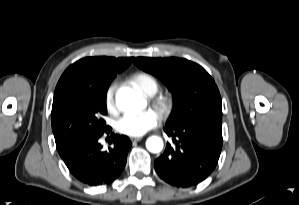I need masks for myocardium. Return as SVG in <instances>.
I'll use <instances>...</instances> for the list:
<instances>
[{
	"instance_id": "myocardium-1",
	"label": "myocardium",
	"mask_w": 299,
	"mask_h": 205,
	"mask_svg": "<svg viewBox=\"0 0 299 205\" xmlns=\"http://www.w3.org/2000/svg\"><path fill=\"white\" fill-rule=\"evenodd\" d=\"M152 104L162 117H167L172 111L173 103L170 95L156 96Z\"/></svg>"
}]
</instances>
